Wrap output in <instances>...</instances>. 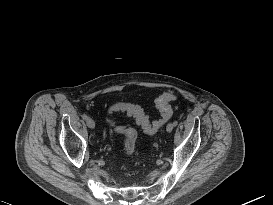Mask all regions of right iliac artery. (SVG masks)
Returning <instances> with one entry per match:
<instances>
[{"label": "right iliac artery", "mask_w": 273, "mask_h": 205, "mask_svg": "<svg viewBox=\"0 0 273 205\" xmlns=\"http://www.w3.org/2000/svg\"><path fill=\"white\" fill-rule=\"evenodd\" d=\"M82 118H83L84 120H87V119H88V115L84 113V114L82 115Z\"/></svg>", "instance_id": "obj_1"}]
</instances>
